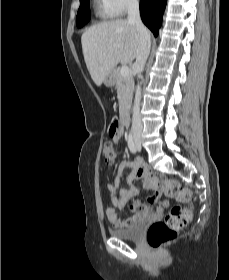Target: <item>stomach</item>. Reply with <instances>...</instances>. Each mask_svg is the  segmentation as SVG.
<instances>
[{"label":"stomach","mask_w":229,"mask_h":280,"mask_svg":"<svg viewBox=\"0 0 229 280\" xmlns=\"http://www.w3.org/2000/svg\"><path fill=\"white\" fill-rule=\"evenodd\" d=\"M115 82H116V76H115V71L113 70L106 75L103 83L106 87H113L115 85Z\"/></svg>","instance_id":"stomach-1"}]
</instances>
